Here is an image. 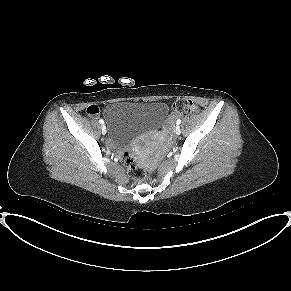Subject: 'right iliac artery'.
<instances>
[{
	"mask_svg": "<svg viewBox=\"0 0 291 291\" xmlns=\"http://www.w3.org/2000/svg\"><path fill=\"white\" fill-rule=\"evenodd\" d=\"M99 122H100L101 124H103V123H104V121H103L102 119H100V120H99Z\"/></svg>",
	"mask_w": 291,
	"mask_h": 291,
	"instance_id": "right-iliac-artery-1",
	"label": "right iliac artery"
}]
</instances>
